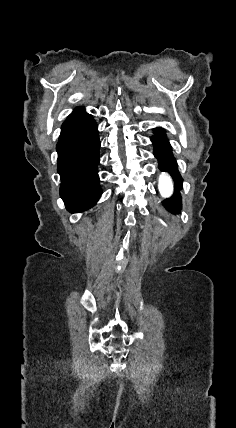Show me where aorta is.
Returning <instances> with one entry per match:
<instances>
[{
  "instance_id": "aorta-1",
  "label": "aorta",
  "mask_w": 236,
  "mask_h": 428,
  "mask_svg": "<svg viewBox=\"0 0 236 428\" xmlns=\"http://www.w3.org/2000/svg\"><path fill=\"white\" fill-rule=\"evenodd\" d=\"M158 189L162 197L169 198L173 193L172 178L165 172L159 175Z\"/></svg>"
}]
</instances>
